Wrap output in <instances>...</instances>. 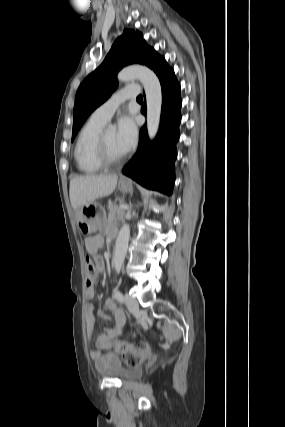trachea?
Wrapping results in <instances>:
<instances>
[{
    "instance_id": "trachea-1",
    "label": "trachea",
    "mask_w": 285,
    "mask_h": 427,
    "mask_svg": "<svg viewBox=\"0 0 285 427\" xmlns=\"http://www.w3.org/2000/svg\"><path fill=\"white\" fill-rule=\"evenodd\" d=\"M142 99H143L142 95L137 97V100H142Z\"/></svg>"
}]
</instances>
